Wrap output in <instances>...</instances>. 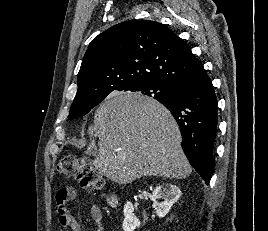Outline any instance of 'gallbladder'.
<instances>
[{
	"instance_id": "bac80fb5",
	"label": "gallbladder",
	"mask_w": 268,
	"mask_h": 231,
	"mask_svg": "<svg viewBox=\"0 0 268 231\" xmlns=\"http://www.w3.org/2000/svg\"><path fill=\"white\" fill-rule=\"evenodd\" d=\"M87 153L90 154V155H95L96 151L93 150L92 148H88Z\"/></svg>"
}]
</instances>
